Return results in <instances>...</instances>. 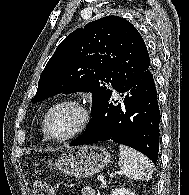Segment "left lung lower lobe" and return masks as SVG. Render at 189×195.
Wrapping results in <instances>:
<instances>
[{
  "mask_svg": "<svg viewBox=\"0 0 189 195\" xmlns=\"http://www.w3.org/2000/svg\"><path fill=\"white\" fill-rule=\"evenodd\" d=\"M115 90L124 96L122 102L115 101L112 94L92 116L85 133L70 145L110 140L142 152L156 164L160 111L150 68Z\"/></svg>",
  "mask_w": 189,
  "mask_h": 195,
  "instance_id": "obj_1",
  "label": "left lung lower lobe"
}]
</instances>
